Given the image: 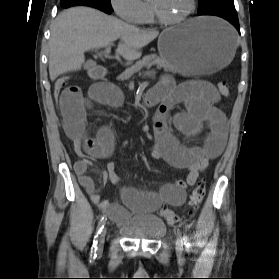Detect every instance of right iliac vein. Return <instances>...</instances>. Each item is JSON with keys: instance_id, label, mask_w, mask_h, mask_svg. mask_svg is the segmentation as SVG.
Returning a JSON list of instances; mask_svg holds the SVG:
<instances>
[{"instance_id": "1", "label": "right iliac vein", "mask_w": 279, "mask_h": 279, "mask_svg": "<svg viewBox=\"0 0 279 279\" xmlns=\"http://www.w3.org/2000/svg\"><path fill=\"white\" fill-rule=\"evenodd\" d=\"M105 236H106V228H104L101 232L100 235V247L103 246L104 240H105Z\"/></svg>"}]
</instances>
